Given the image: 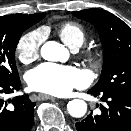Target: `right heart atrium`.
<instances>
[{
    "mask_svg": "<svg viewBox=\"0 0 131 131\" xmlns=\"http://www.w3.org/2000/svg\"><path fill=\"white\" fill-rule=\"evenodd\" d=\"M43 40L44 32L41 29H35L24 34L18 40L16 46L19 60L24 64H28L37 59Z\"/></svg>",
    "mask_w": 131,
    "mask_h": 131,
    "instance_id": "1",
    "label": "right heart atrium"
}]
</instances>
